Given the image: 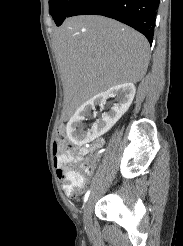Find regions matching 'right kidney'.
<instances>
[{
  "instance_id": "ca27d5eb",
  "label": "right kidney",
  "mask_w": 183,
  "mask_h": 246,
  "mask_svg": "<svg viewBox=\"0 0 183 246\" xmlns=\"http://www.w3.org/2000/svg\"><path fill=\"white\" fill-rule=\"evenodd\" d=\"M133 83H123L113 86L103 93L93 96L82 104L67 123V135L72 143L76 145L85 144L108 132L115 123L124 115L130 107L135 96ZM116 97L117 103L113 105L108 113L103 114L102 120L93 124L88 132L81 128L82 121L89 115L91 109L98 104H105L107 98Z\"/></svg>"
}]
</instances>
